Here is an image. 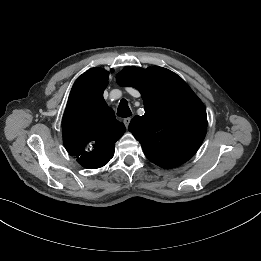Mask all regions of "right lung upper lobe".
Masks as SVG:
<instances>
[{
  "label": "right lung upper lobe",
  "instance_id": "cb5924a9",
  "mask_svg": "<svg viewBox=\"0 0 261 261\" xmlns=\"http://www.w3.org/2000/svg\"><path fill=\"white\" fill-rule=\"evenodd\" d=\"M108 78L101 68L82 74L72 87L62 119L66 150L89 169L100 168L113 157L114 143L125 132L103 98Z\"/></svg>",
  "mask_w": 261,
  "mask_h": 261
}]
</instances>
